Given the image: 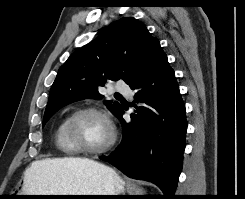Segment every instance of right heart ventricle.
<instances>
[{"label":"right heart ventricle","instance_id":"e07e8e85","mask_svg":"<svg viewBox=\"0 0 245 199\" xmlns=\"http://www.w3.org/2000/svg\"><path fill=\"white\" fill-rule=\"evenodd\" d=\"M67 117L64 118L59 125L57 126L54 133V140L57 148L65 155V156H74L77 154V151L73 149L69 140L65 135V124Z\"/></svg>","mask_w":245,"mask_h":199}]
</instances>
